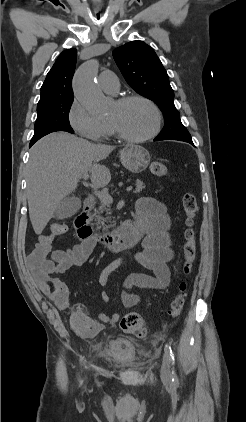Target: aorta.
Wrapping results in <instances>:
<instances>
[{
	"label": "aorta",
	"instance_id": "762f6f07",
	"mask_svg": "<svg viewBox=\"0 0 246 422\" xmlns=\"http://www.w3.org/2000/svg\"><path fill=\"white\" fill-rule=\"evenodd\" d=\"M98 66V61L91 59L76 71L73 78L75 97L94 116L104 115L107 111L102 92L96 84Z\"/></svg>",
	"mask_w": 246,
	"mask_h": 422
}]
</instances>
